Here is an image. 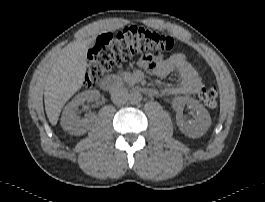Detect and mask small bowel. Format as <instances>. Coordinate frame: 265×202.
Returning <instances> with one entry per match:
<instances>
[{
  "instance_id": "small-bowel-1",
  "label": "small bowel",
  "mask_w": 265,
  "mask_h": 202,
  "mask_svg": "<svg viewBox=\"0 0 265 202\" xmlns=\"http://www.w3.org/2000/svg\"><path fill=\"white\" fill-rule=\"evenodd\" d=\"M175 70L179 73L180 81L166 89L168 95L195 94L203 87L197 67L188 61L183 53L173 54L166 59L159 58L150 73L159 78H166Z\"/></svg>"
}]
</instances>
